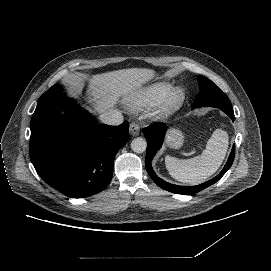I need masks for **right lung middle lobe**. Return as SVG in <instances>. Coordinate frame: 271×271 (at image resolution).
I'll use <instances>...</instances> for the list:
<instances>
[{"label":"right lung middle lobe","mask_w":271,"mask_h":271,"mask_svg":"<svg viewBox=\"0 0 271 271\" xmlns=\"http://www.w3.org/2000/svg\"><path fill=\"white\" fill-rule=\"evenodd\" d=\"M59 92H62V87L59 84H55L50 89H48L44 94L41 95V97L39 98V101L43 99H47Z\"/></svg>","instance_id":"dd1d6c3e"}]
</instances>
